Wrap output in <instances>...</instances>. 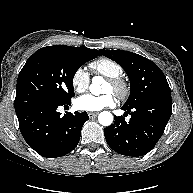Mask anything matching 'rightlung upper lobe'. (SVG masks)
<instances>
[{"mask_svg":"<svg viewBox=\"0 0 193 193\" xmlns=\"http://www.w3.org/2000/svg\"><path fill=\"white\" fill-rule=\"evenodd\" d=\"M49 48H63V49H69V50H73L75 52H79V53H84V54H89L94 56L95 58L97 56H100L101 53L100 51L96 50V49H89L86 47H70V46H66V45H54V46H48ZM46 48V47H44Z\"/></svg>","mask_w":193,"mask_h":193,"instance_id":"obj_1","label":"right lung upper lobe"}]
</instances>
